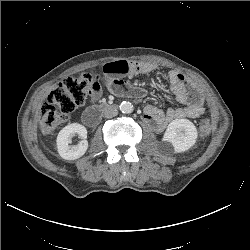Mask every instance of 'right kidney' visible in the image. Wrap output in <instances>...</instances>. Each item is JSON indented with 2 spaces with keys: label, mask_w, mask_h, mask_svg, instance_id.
Masks as SVG:
<instances>
[{
  "label": "right kidney",
  "mask_w": 250,
  "mask_h": 250,
  "mask_svg": "<svg viewBox=\"0 0 250 250\" xmlns=\"http://www.w3.org/2000/svg\"><path fill=\"white\" fill-rule=\"evenodd\" d=\"M77 134L81 140L77 145H69L71 143L70 136ZM87 129L79 124L72 123L65 126L57 136V149L59 155L66 160H75L85 154L88 149Z\"/></svg>",
  "instance_id": "right-kidney-1"
}]
</instances>
